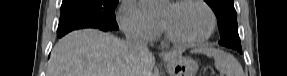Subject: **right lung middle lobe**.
I'll return each instance as SVG.
<instances>
[{"instance_id":"1","label":"right lung middle lobe","mask_w":287,"mask_h":76,"mask_svg":"<svg viewBox=\"0 0 287 76\" xmlns=\"http://www.w3.org/2000/svg\"><path fill=\"white\" fill-rule=\"evenodd\" d=\"M118 0H63L58 37L80 28L117 30L114 10Z\"/></svg>"}]
</instances>
